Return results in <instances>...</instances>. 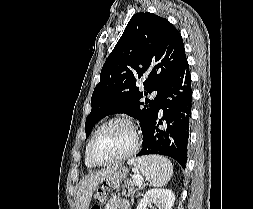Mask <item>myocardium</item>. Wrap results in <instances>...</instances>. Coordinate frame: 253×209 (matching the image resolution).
Returning <instances> with one entry per match:
<instances>
[{
	"label": "myocardium",
	"mask_w": 253,
	"mask_h": 209,
	"mask_svg": "<svg viewBox=\"0 0 253 209\" xmlns=\"http://www.w3.org/2000/svg\"><path fill=\"white\" fill-rule=\"evenodd\" d=\"M124 123L127 126H129V128L132 130L133 133V144L132 146L121 156L113 159V160H109L106 162H99L94 158L93 155V148H94V143L95 140L97 138V136L99 135V133L108 125L112 124V123ZM140 142H141V132L140 129L138 127V125L136 124V122L131 119L128 116H114L110 119H108L107 121H105L104 123H102L94 132V134L92 135L90 141H89V145H88V158L89 161L91 163L92 166L95 167H103V166H109V165H113V164H118L120 162L125 161L126 159H128L129 157H131L133 154H135V152L138 150L139 146H140Z\"/></svg>",
	"instance_id": "f54148a6"
}]
</instances>
